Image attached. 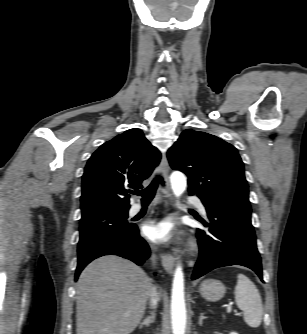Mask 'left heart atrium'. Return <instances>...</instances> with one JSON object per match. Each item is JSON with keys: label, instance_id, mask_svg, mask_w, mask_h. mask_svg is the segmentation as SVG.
<instances>
[{"label": "left heart atrium", "instance_id": "1", "mask_svg": "<svg viewBox=\"0 0 307 334\" xmlns=\"http://www.w3.org/2000/svg\"><path fill=\"white\" fill-rule=\"evenodd\" d=\"M172 223L167 220H158L147 223L143 232L145 237L153 243H164L170 240L172 236Z\"/></svg>", "mask_w": 307, "mask_h": 334}]
</instances>
